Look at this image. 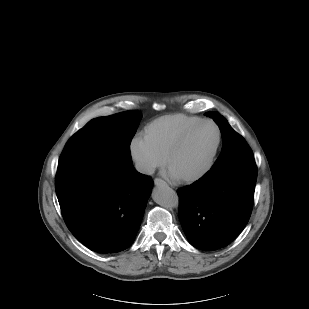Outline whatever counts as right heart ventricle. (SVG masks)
Wrapping results in <instances>:
<instances>
[{
	"instance_id": "e07e8e85",
	"label": "right heart ventricle",
	"mask_w": 309,
	"mask_h": 309,
	"mask_svg": "<svg viewBox=\"0 0 309 309\" xmlns=\"http://www.w3.org/2000/svg\"><path fill=\"white\" fill-rule=\"evenodd\" d=\"M200 120L202 118L186 114L161 116L145 127L143 136L154 150L165 158L168 150L179 135Z\"/></svg>"
}]
</instances>
